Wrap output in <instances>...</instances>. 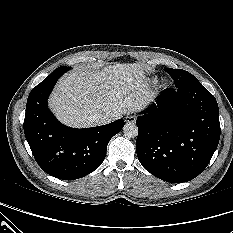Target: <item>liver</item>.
Listing matches in <instances>:
<instances>
[{
	"label": "liver",
	"instance_id": "liver-1",
	"mask_svg": "<svg viewBox=\"0 0 233 233\" xmlns=\"http://www.w3.org/2000/svg\"><path fill=\"white\" fill-rule=\"evenodd\" d=\"M153 100L142 66L117 63L96 71L77 68L70 72L56 85L49 105L64 124L92 127L99 125L93 119L97 114H108L114 121Z\"/></svg>",
	"mask_w": 233,
	"mask_h": 233
}]
</instances>
